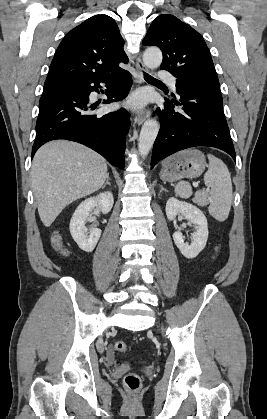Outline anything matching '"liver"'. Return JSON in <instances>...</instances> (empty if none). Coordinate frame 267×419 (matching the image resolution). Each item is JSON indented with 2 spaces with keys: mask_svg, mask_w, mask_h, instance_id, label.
<instances>
[{
  "mask_svg": "<svg viewBox=\"0 0 267 419\" xmlns=\"http://www.w3.org/2000/svg\"><path fill=\"white\" fill-rule=\"evenodd\" d=\"M107 176L106 160L79 143L56 140L39 148L31 180L44 226L49 227L73 201L98 191Z\"/></svg>",
  "mask_w": 267,
  "mask_h": 419,
  "instance_id": "liver-1",
  "label": "liver"
}]
</instances>
